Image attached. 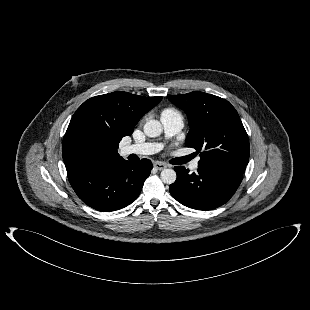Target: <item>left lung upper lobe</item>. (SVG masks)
<instances>
[{"label":"left lung upper lobe","mask_w":310,"mask_h":310,"mask_svg":"<svg viewBox=\"0 0 310 310\" xmlns=\"http://www.w3.org/2000/svg\"><path fill=\"white\" fill-rule=\"evenodd\" d=\"M168 99L188 117L186 147L201 152L200 167L243 174L249 161V139L235 108L225 99L194 91Z\"/></svg>","instance_id":"obj_1"}]
</instances>
